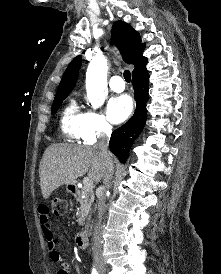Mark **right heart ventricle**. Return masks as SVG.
Instances as JSON below:
<instances>
[{
    "mask_svg": "<svg viewBox=\"0 0 221 274\" xmlns=\"http://www.w3.org/2000/svg\"><path fill=\"white\" fill-rule=\"evenodd\" d=\"M83 113L80 112L75 100H70L61 115L62 132L71 139L81 138V122Z\"/></svg>",
    "mask_w": 221,
    "mask_h": 274,
    "instance_id": "obj_1",
    "label": "right heart ventricle"
}]
</instances>
